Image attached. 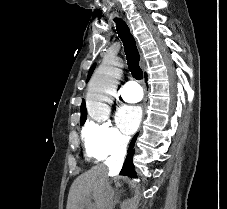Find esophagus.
<instances>
[{
    "mask_svg": "<svg viewBox=\"0 0 227 209\" xmlns=\"http://www.w3.org/2000/svg\"><path fill=\"white\" fill-rule=\"evenodd\" d=\"M122 17L125 19L127 16L124 14Z\"/></svg>",
    "mask_w": 227,
    "mask_h": 209,
    "instance_id": "34e87169",
    "label": "esophagus"
}]
</instances>
